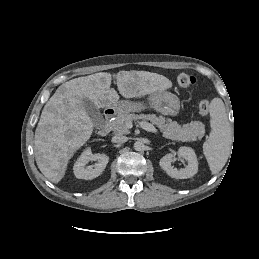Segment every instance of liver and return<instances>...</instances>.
I'll return each mask as SVG.
<instances>
[{
  "instance_id": "1",
  "label": "liver",
  "mask_w": 259,
  "mask_h": 259,
  "mask_svg": "<svg viewBox=\"0 0 259 259\" xmlns=\"http://www.w3.org/2000/svg\"><path fill=\"white\" fill-rule=\"evenodd\" d=\"M116 80L125 98H140L172 87L165 76L147 71H119ZM111 81L108 72L72 79L59 86L45 104L35 131L34 154L38 168L52 183L61 181L69 160L93 133L94 124L83 98L98 109L118 103L119 95L110 88Z\"/></svg>"
}]
</instances>
